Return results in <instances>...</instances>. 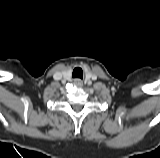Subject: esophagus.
I'll list each match as a JSON object with an SVG mask.
<instances>
[{"label": "esophagus", "instance_id": "34e87169", "mask_svg": "<svg viewBox=\"0 0 160 158\" xmlns=\"http://www.w3.org/2000/svg\"><path fill=\"white\" fill-rule=\"evenodd\" d=\"M74 84L77 86H81L82 85V81L80 79H75L74 80Z\"/></svg>", "mask_w": 160, "mask_h": 158}]
</instances>
